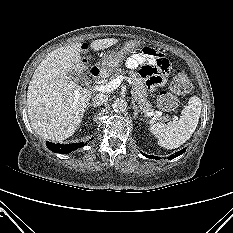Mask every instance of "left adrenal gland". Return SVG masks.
Returning <instances> with one entry per match:
<instances>
[{"mask_svg": "<svg viewBox=\"0 0 233 233\" xmlns=\"http://www.w3.org/2000/svg\"><path fill=\"white\" fill-rule=\"evenodd\" d=\"M132 106H133V110H134V117H137L138 112H140L139 107L136 105L135 101L132 99Z\"/></svg>", "mask_w": 233, "mask_h": 233, "instance_id": "a2214340", "label": "left adrenal gland"}]
</instances>
